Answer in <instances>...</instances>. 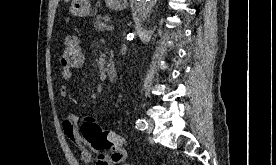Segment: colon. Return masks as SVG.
Segmentation results:
<instances>
[{
	"label": "colon",
	"mask_w": 276,
	"mask_h": 165,
	"mask_svg": "<svg viewBox=\"0 0 276 165\" xmlns=\"http://www.w3.org/2000/svg\"><path fill=\"white\" fill-rule=\"evenodd\" d=\"M83 58L82 49L76 36H67L64 42V51L61 58V69L71 71L81 65ZM83 139L95 150L109 151L115 159H124L125 140L122 136L104 130L93 117H87L81 125Z\"/></svg>",
	"instance_id": "5ec220e1"
}]
</instances>
